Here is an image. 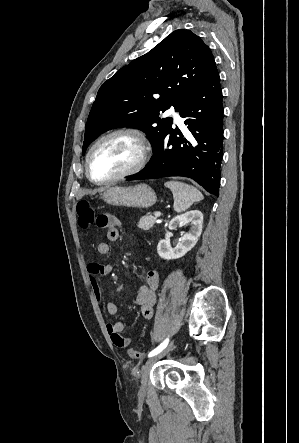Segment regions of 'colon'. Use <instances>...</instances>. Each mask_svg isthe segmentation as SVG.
I'll list each match as a JSON object with an SVG mask.
<instances>
[{
    "label": "colon",
    "mask_w": 299,
    "mask_h": 443,
    "mask_svg": "<svg viewBox=\"0 0 299 443\" xmlns=\"http://www.w3.org/2000/svg\"><path fill=\"white\" fill-rule=\"evenodd\" d=\"M78 223L81 229H89L97 224L94 208L86 200H80L77 203ZM128 355L132 359L141 360L143 353L135 347L128 350Z\"/></svg>",
    "instance_id": "colon-1"
}]
</instances>
